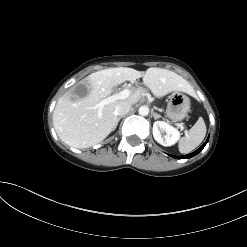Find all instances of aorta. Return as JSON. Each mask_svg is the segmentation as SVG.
<instances>
[{"mask_svg":"<svg viewBox=\"0 0 247 247\" xmlns=\"http://www.w3.org/2000/svg\"><path fill=\"white\" fill-rule=\"evenodd\" d=\"M138 111L141 116H147L149 114V108L147 106H141Z\"/></svg>","mask_w":247,"mask_h":247,"instance_id":"obj_1","label":"aorta"}]
</instances>
